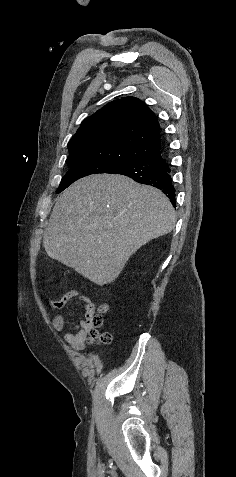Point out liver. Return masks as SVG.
<instances>
[{
	"label": "liver",
	"mask_w": 236,
	"mask_h": 477,
	"mask_svg": "<svg viewBox=\"0 0 236 477\" xmlns=\"http://www.w3.org/2000/svg\"><path fill=\"white\" fill-rule=\"evenodd\" d=\"M175 223V210L160 190L126 176L97 174L59 196L43 246L49 257L103 286L141 246L171 232Z\"/></svg>",
	"instance_id": "liver-1"
}]
</instances>
